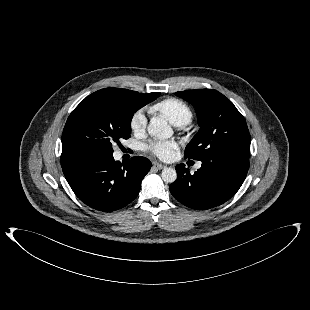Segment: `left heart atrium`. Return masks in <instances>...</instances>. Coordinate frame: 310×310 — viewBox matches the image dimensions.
<instances>
[{"instance_id":"left-heart-atrium-1","label":"left heart atrium","mask_w":310,"mask_h":310,"mask_svg":"<svg viewBox=\"0 0 310 310\" xmlns=\"http://www.w3.org/2000/svg\"><path fill=\"white\" fill-rule=\"evenodd\" d=\"M146 149L161 160H169L173 157L177 144L170 140H154L146 145Z\"/></svg>"}]
</instances>
